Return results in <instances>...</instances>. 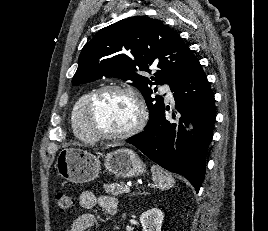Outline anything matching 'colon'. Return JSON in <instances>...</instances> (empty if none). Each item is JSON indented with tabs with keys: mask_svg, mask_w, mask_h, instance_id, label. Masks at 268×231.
<instances>
[{
	"mask_svg": "<svg viewBox=\"0 0 268 231\" xmlns=\"http://www.w3.org/2000/svg\"><path fill=\"white\" fill-rule=\"evenodd\" d=\"M55 204L58 212L65 213L75 204V200L65 192H58L55 196Z\"/></svg>",
	"mask_w": 268,
	"mask_h": 231,
	"instance_id": "5ec220e1",
	"label": "colon"
}]
</instances>
